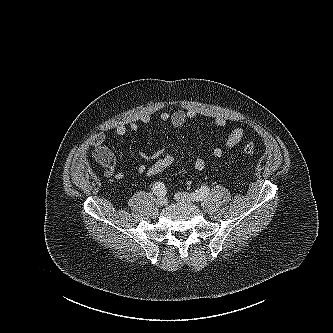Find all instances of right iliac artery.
<instances>
[{
    "label": "right iliac artery",
    "mask_w": 333,
    "mask_h": 333,
    "mask_svg": "<svg viewBox=\"0 0 333 333\" xmlns=\"http://www.w3.org/2000/svg\"><path fill=\"white\" fill-rule=\"evenodd\" d=\"M153 192L158 196H164L167 193L166 187L161 182H156L152 188Z\"/></svg>",
    "instance_id": "obj_1"
}]
</instances>
